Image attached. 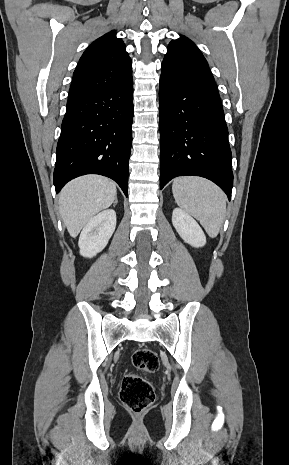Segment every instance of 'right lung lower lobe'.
<instances>
[{
	"instance_id": "right-lung-lower-lobe-1",
	"label": "right lung lower lobe",
	"mask_w": 289,
	"mask_h": 465,
	"mask_svg": "<svg viewBox=\"0 0 289 465\" xmlns=\"http://www.w3.org/2000/svg\"><path fill=\"white\" fill-rule=\"evenodd\" d=\"M133 80L67 102L57 144L56 193L71 179L100 174L128 196L132 145Z\"/></svg>"
}]
</instances>
